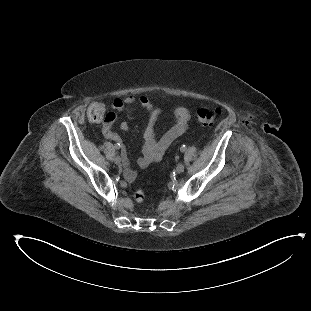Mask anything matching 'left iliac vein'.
I'll list each match as a JSON object with an SVG mask.
<instances>
[{
	"label": "left iliac vein",
	"mask_w": 311,
	"mask_h": 311,
	"mask_svg": "<svg viewBox=\"0 0 311 311\" xmlns=\"http://www.w3.org/2000/svg\"><path fill=\"white\" fill-rule=\"evenodd\" d=\"M184 171V164L183 163H179L176 167V172L178 174L182 173Z\"/></svg>",
	"instance_id": "4c4485c4"
}]
</instances>
